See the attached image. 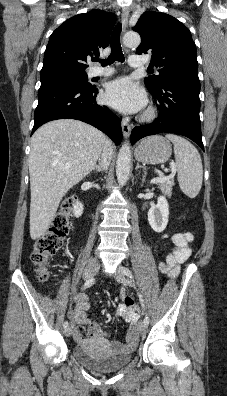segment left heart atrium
I'll return each instance as SVG.
<instances>
[{"label":"left heart atrium","mask_w":227,"mask_h":396,"mask_svg":"<svg viewBox=\"0 0 227 396\" xmlns=\"http://www.w3.org/2000/svg\"><path fill=\"white\" fill-rule=\"evenodd\" d=\"M104 101L121 112L135 113L146 104V96L137 83L124 77L107 85Z\"/></svg>","instance_id":"obj_1"}]
</instances>
